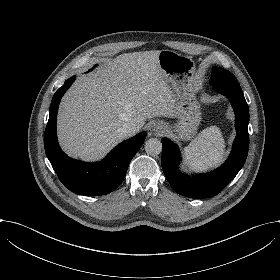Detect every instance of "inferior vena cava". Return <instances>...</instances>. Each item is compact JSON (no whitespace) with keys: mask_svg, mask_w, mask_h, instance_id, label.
I'll return each mask as SVG.
<instances>
[{"mask_svg":"<svg viewBox=\"0 0 280 280\" xmlns=\"http://www.w3.org/2000/svg\"><path fill=\"white\" fill-rule=\"evenodd\" d=\"M138 130V126L134 128L132 125L126 124L123 127L119 128L117 133L119 138L127 139L135 135Z\"/></svg>","mask_w":280,"mask_h":280,"instance_id":"602c4592","label":"inferior vena cava"}]
</instances>
